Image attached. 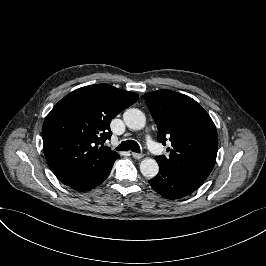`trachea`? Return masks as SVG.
I'll use <instances>...</instances> for the list:
<instances>
[{"label": "trachea", "mask_w": 266, "mask_h": 266, "mask_svg": "<svg viewBox=\"0 0 266 266\" xmlns=\"http://www.w3.org/2000/svg\"><path fill=\"white\" fill-rule=\"evenodd\" d=\"M116 150H119V151L131 150L133 152L140 153L139 145L133 140L131 141L127 140V141L122 142L121 144L118 145Z\"/></svg>", "instance_id": "1"}]
</instances>
